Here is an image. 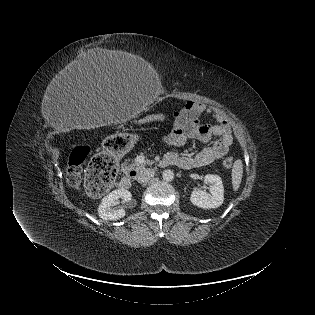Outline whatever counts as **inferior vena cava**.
I'll return each instance as SVG.
<instances>
[{
    "mask_svg": "<svg viewBox=\"0 0 315 315\" xmlns=\"http://www.w3.org/2000/svg\"><path fill=\"white\" fill-rule=\"evenodd\" d=\"M155 175V171L153 169L150 168H143L138 176H137V180L139 183H144V182H148L151 178H153Z\"/></svg>",
    "mask_w": 315,
    "mask_h": 315,
    "instance_id": "obj_1",
    "label": "inferior vena cava"
}]
</instances>
